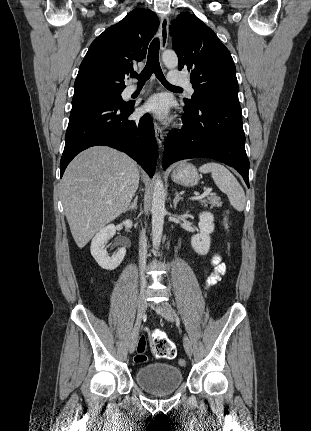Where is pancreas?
I'll use <instances>...</instances> for the list:
<instances>
[{
	"label": "pancreas",
	"instance_id": "cf45deb5",
	"mask_svg": "<svg viewBox=\"0 0 311 431\" xmlns=\"http://www.w3.org/2000/svg\"><path fill=\"white\" fill-rule=\"evenodd\" d=\"M201 206H208L210 204V208H220L222 206L221 198L218 196H207L206 200H199Z\"/></svg>",
	"mask_w": 311,
	"mask_h": 431
}]
</instances>
